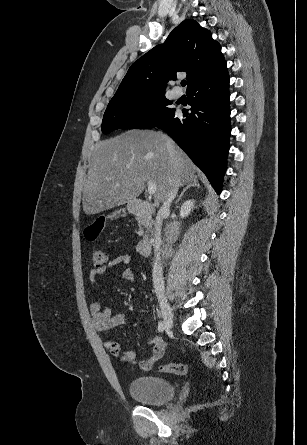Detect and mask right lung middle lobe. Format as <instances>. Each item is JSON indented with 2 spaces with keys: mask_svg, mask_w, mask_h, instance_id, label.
<instances>
[{
  "mask_svg": "<svg viewBox=\"0 0 307 445\" xmlns=\"http://www.w3.org/2000/svg\"><path fill=\"white\" fill-rule=\"evenodd\" d=\"M164 93L111 99L103 116L102 132L153 128L174 112Z\"/></svg>",
  "mask_w": 307,
  "mask_h": 445,
  "instance_id": "dd1d6c3e",
  "label": "right lung middle lobe"
}]
</instances>
